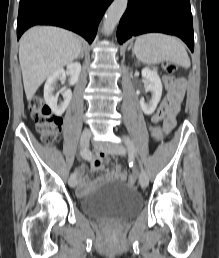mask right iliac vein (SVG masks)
I'll list each match as a JSON object with an SVG mask.
<instances>
[{"instance_id": "63e3f726", "label": "right iliac vein", "mask_w": 219, "mask_h": 258, "mask_svg": "<svg viewBox=\"0 0 219 258\" xmlns=\"http://www.w3.org/2000/svg\"><path fill=\"white\" fill-rule=\"evenodd\" d=\"M90 138H91V133L88 130H84L81 133V136H80V145H81V147L88 148ZM68 184L72 188L75 187L77 185L76 178L70 177L69 180H68Z\"/></svg>"}]
</instances>
